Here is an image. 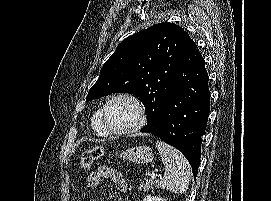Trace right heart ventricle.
I'll use <instances>...</instances> for the list:
<instances>
[{
    "instance_id": "e07e8e85",
    "label": "right heart ventricle",
    "mask_w": 271,
    "mask_h": 201,
    "mask_svg": "<svg viewBox=\"0 0 271 201\" xmlns=\"http://www.w3.org/2000/svg\"><path fill=\"white\" fill-rule=\"evenodd\" d=\"M91 128L95 135L99 137H106L109 136V133L106 128L104 127L101 117H100V109H97L91 118Z\"/></svg>"
}]
</instances>
